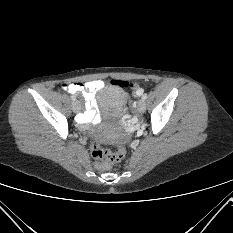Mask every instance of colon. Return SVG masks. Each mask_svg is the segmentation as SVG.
<instances>
[{
  "mask_svg": "<svg viewBox=\"0 0 233 233\" xmlns=\"http://www.w3.org/2000/svg\"><path fill=\"white\" fill-rule=\"evenodd\" d=\"M114 82L117 85L122 86V87H127L129 85V83L126 81L118 80ZM129 102H130V98L127 100V105L129 104ZM127 105L125 108V115L126 117H129ZM91 154L94 159L98 161H102V163L99 164V167L102 169H106L109 163H117L124 159L126 155V148L124 145H121L115 152H112V151L103 149L98 143V141L95 140L91 144Z\"/></svg>",
  "mask_w": 233,
  "mask_h": 233,
  "instance_id": "colon-1",
  "label": "colon"
}]
</instances>
